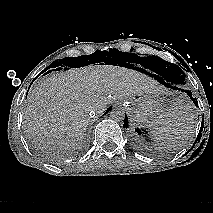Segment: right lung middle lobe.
<instances>
[{"instance_id":"dd1d6c3e","label":"right lung middle lobe","mask_w":213,"mask_h":213,"mask_svg":"<svg viewBox=\"0 0 213 213\" xmlns=\"http://www.w3.org/2000/svg\"><path fill=\"white\" fill-rule=\"evenodd\" d=\"M127 53H123L117 49H109V51H99L97 50L95 53L91 55H83L79 57H74V58H64V59H59L55 60L48 68H58V67H64V66H69V67H81L88 65L91 63L92 60H109L113 61L118 58H121L125 56Z\"/></svg>"}]
</instances>
